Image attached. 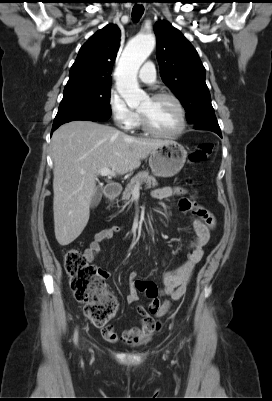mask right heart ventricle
Here are the masks:
<instances>
[{
	"label": "right heart ventricle",
	"mask_w": 272,
	"mask_h": 401,
	"mask_svg": "<svg viewBox=\"0 0 272 401\" xmlns=\"http://www.w3.org/2000/svg\"><path fill=\"white\" fill-rule=\"evenodd\" d=\"M139 125V118H137L136 123L134 126H138Z\"/></svg>",
	"instance_id": "right-heart-ventricle-1"
}]
</instances>
